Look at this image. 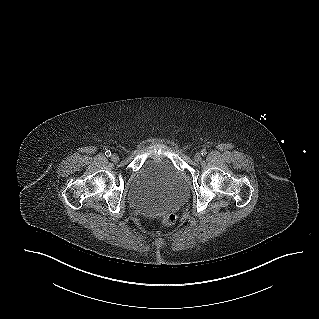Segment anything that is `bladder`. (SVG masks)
Wrapping results in <instances>:
<instances>
[{
  "instance_id": "bladder-1",
  "label": "bladder",
  "mask_w": 319,
  "mask_h": 319,
  "mask_svg": "<svg viewBox=\"0 0 319 319\" xmlns=\"http://www.w3.org/2000/svg\"><path fill=\"white\" fill-rule=\"evenodd\" d=\"M187 196L183 174L169 159L154 157L146 160L136 172L127 200L135 210L156 212L181 204Z\"/></svg>"
}]
</instances>
